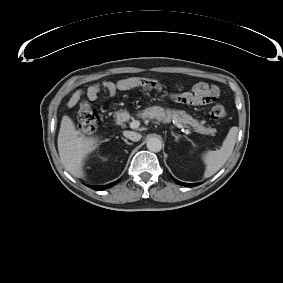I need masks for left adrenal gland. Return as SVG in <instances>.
Wrapping results in <instances>:
<instances>
[{"mask_svg":"<svg viewBox=\"0 0 283 283\" xmlns=\"http://www.w3.org/2000/svg\"><path fill=\"white\" fill-rule=\"evenodd\" d=\"M172 136H174L175 137V141L177 142L178 140H179V136H177V135H175L173 132H172Z\"/></svg>","mask_w":283,"mask_h":283,"instance_id":"obj_1","label":"left adrenal gland"}]
</instances>
